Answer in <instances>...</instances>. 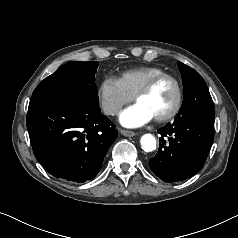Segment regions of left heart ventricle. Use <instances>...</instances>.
Here are the masks:
<instances>
[{"mask_svg":"<svg viewBox=\"0 0 238 238\" xmlns=\"http://www.w3.org/2000/svg\"><path fill=\"white\" fill-rule=\"evenodd\" d=\"M176 101V89L168 79L160 81L149 93L136 101L148 109L155 117L168 113Z\"/></svg>","mask_w":238,"mask_h":238,"instance_id":"b2bd125f","label":"left heart ventricle"}]
</instances>
